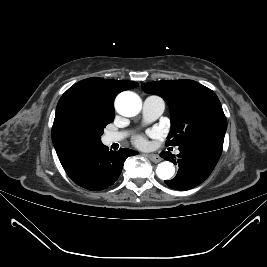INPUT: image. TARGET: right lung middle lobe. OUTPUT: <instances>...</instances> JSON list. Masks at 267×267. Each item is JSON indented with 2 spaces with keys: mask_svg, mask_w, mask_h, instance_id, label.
<instances>
[{
  "mask_svg": "<svg viewBox=\"0 0 267 267\" xmlns=\"http://www.w3.org/2000/svg\"><path fill=\"white\" fill-rule=\"evenodd\" d=\"M114 116L115 111L102 109L89 99H76L61 110L56 123L57 135L70 151L98 144L103 129Z\"/></svg>",
  "mask_w": 267,
  "mask_h": 267,
  "instance_id": "obj_1",
  "label": "right lung middle lobe"
}]
</instances>
